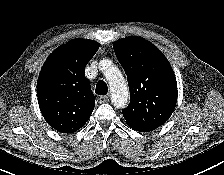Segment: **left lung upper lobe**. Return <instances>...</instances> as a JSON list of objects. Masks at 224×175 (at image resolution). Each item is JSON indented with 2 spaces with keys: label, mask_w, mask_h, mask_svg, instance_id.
Wrapping results in <instances>:
<instances>
[{
  "label": "left lung upper lobe",
  "mask_w": 224,
  "mask_h": 175,
  "mask_svg": "<svg viewBox=\"0 0 224 175\" xmlns=\"http://www.w3.org/2000/svg\"><path fill=\"white\" fill-rule=\"evenodd\" d=\"M113 48L130 90V104L122 109L126 123L131 128L156 129L169 119L177 102V82L168 60L139 37L116 41Z\"/></svg>",
  "instance_id": "5c2ea615"
}]
</instances>
